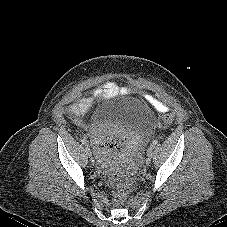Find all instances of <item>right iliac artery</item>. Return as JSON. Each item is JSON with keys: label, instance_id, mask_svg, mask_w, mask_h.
Here are the masks:
<instances>
[{"label": "right iliac artery", "instance_id": "right-iliac-artery-1", "mask_svg": "<svg viewBox=\"0 0 227 227\" xmlns=\"http://www.w3.org/2000/svg\"><path fill=\"white\" fill-rule=\"evenodd\" d=\"M81 142H82V144H86V140L85 139H82Z\"/></svg>", "mask_w": 227, "mask_h": 227}]
</instances>
